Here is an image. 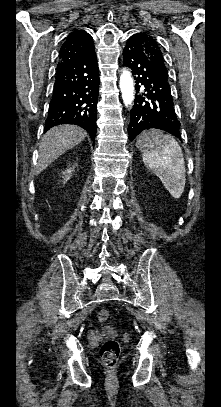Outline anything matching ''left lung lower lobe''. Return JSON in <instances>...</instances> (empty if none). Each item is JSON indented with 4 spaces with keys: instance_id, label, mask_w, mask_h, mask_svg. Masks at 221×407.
Segmentation results:
<instances>
[{
    "instance_id": "0a47b994",
    "label": "left lung lower lobe",
    "mask_w": 221,
    "mask_h": 407,
    "mask_svg": "<svg viewBox=\"0 0 221 407\" xmlns=\"http://www.w3.org/2000/svg\"><path fill=\"white\" fill-rule=\"evenodd\" d=\"M123 57L124 65L135 75L137 93L131 109L129 139L133 140L149 128L166 131L181 139L167 71L148 58L135 34L127 40Z\"/></svg>"
}]
</instances>
